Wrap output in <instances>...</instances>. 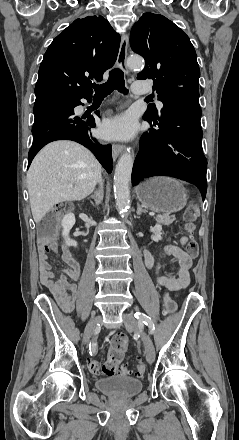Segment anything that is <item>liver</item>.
<instances>
[{
	"label": "liver",
	"mask_w": 239,
	"mask_h": 440,
	"mask_svg": "<svg viewBox=\"0 0 239 440\" xmlns=\"http://www.w3.org/2000/svg\"><path fill=\"white\" fill-rule=\"evenodd\" d=\"M100 178L99 162L80 144L67 140L47 144L35 156L27 172V188L35 224H39L55 204L87 198Z\"/></svg>",
	"instance_id": "1"
}]
</instances>
